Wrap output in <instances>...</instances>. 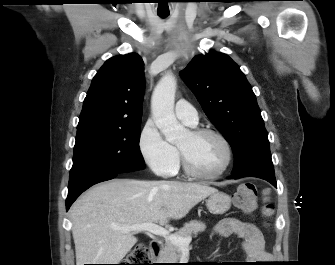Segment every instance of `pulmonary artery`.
<instances>
[{
    "instance_id": "obj_1",
    "label": "pulmonary artery",
    "mask_w": 335,
    "mask_h": 265,
    "mask_svg": "<svg viewBox=\"0 0 335 265\" xmlns=\"http://www.w3.org/2000/svg\"><path fill=\"white\" fill-rule=\"evenodd\" d=\"M175 114L178 119L189 126H196L198 124V113L196 109L185 100H179L176 103Z\"/></svg>"
}]
</instances>
